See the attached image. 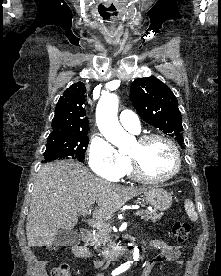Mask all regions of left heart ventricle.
Wrapping results in <instances>:
<instances>
[{"instance_id":"left-heart-ventricle-1","label":"left heart ventricle","mask_w":221,"mask_h":276,"mask_svg":"<svg viewBox=\"0 0 221 276\" xmlns=\"http://www.w3.org/2000/svg\"><path fill=\"white\" fill-rule=\"evenodd\" d=\"M130 155L136 157L143 170L152 177H163L175 168V157L170 146L159 139L146 144L135 142Z\"/></svg>"}]
</instances>
